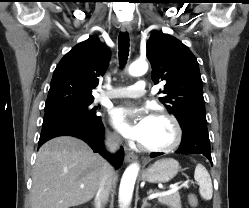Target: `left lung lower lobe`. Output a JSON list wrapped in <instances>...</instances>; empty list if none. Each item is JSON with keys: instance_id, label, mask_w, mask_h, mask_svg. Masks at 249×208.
I'll list each match as a JSON object with an SVG mask.
<instances>
[{"instance_id": "obj_1", "label": "left lung lower lobe", "mask_w": 249, "mask_h": 208, "mask_svg": "<svg viewBox=\"0 0 249 208\" xmlns=\"http://www.w3.org/2000/svg\"><path fill=\"white\" fill-rule=\"evenodd\" d=\"M182 141L176 153H198L203 154L212 164L210 140L207 123L191 121L182 128ZM162 153H152V158Z\"/></svg>"}]
</instances>
